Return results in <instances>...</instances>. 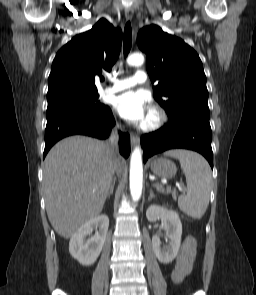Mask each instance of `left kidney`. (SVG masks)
I'll list each match as a JSON object with an SVG mask.
<instances>
[{
  "mask_svg": "<svg viewBox=\"0 0 256 295\" xmlns=\"http://www.w3.org/2000/svg\"><path fill=\"white\" fill-rule=\"evenodd\" d=\"M148 221L153 222L162 219L166 236L169 238L167 246L161 248L158 235L152 237V247L159 262L169 264L178 254L181 245L182 223L178 213L164 206L153 204L146 211Z\"/></svg>",
  "mask_w": 256,
  "mask_h": 295,
  "instance_id": "left-kidney-1",
  "label": "left kidney"
}]
</instances>
